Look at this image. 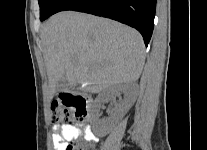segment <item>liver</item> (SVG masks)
Segmentation results:
<instances>
[{"label":"liver","instance_id":"6515ba94","mask_svg":"<svg viewBox=\"0 0 207 150\" xmlns=\"http://www.w3.org/2000/svg\"><path fill=\"white\" fill-rule=\"evenodd\" d=\"M41 43L49 81V94L66 77L99 93L112 85L139 79L145 60L140 33L119 22L64 11L49 18L41 30Z\"/></svg>","mask_w":207,"mask_h":150}]
</instances>
